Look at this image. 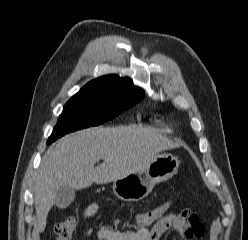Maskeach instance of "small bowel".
Listing matches in <instances>:
<instances>
[{
  "label": "small bowel",
  "mask_w": 248,
  "mask_h": 240,
  "mask_svg": "<svg viewBox=\"0 0 248 240\" xmlns=\"http://www.w3.org/2000/svg\"><path fill=\"white\" fill-rule=\"evenodd\" d=\"M97 211L98 205L93 203L86 208L84 215L92 217ZM169 230H173L184 240H201L205 234V227L199 217L184 210L178 214H167L151 226L126 232L102 228L95 232V236L98 240H160ZM91 234V230L86 231L87 236Z\"/></svg>",
  "instance_id": "1"
}]
</instances>
